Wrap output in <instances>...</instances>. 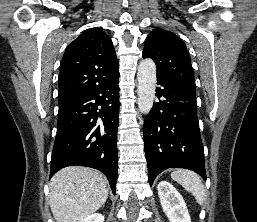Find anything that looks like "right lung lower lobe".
Instances as JSON below:
<instances>
[{
	"instance_id": "obj_1",
	"label": "right lung lower lobe",
	"mask_w": 257,
	"mask_h": 222,
	"mask_svg": "<svg viewBox=\"0 0 257 222\" xmlns=\"http://www.w3.org/2000/svg\"><path fill=\"white\" fill-rule=\"evenodd\" d=\"M119 72L95 91L59 107L50 177L66 166L100 170L115 194L118 177Z\"/></svg>"
}]
</instances>
